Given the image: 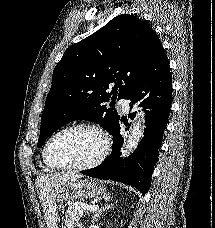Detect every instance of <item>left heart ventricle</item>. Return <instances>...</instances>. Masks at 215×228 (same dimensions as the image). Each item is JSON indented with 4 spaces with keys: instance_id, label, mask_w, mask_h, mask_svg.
I'll return each mask as SVG.
<instances>
[{
    "instance_id": "obj_1",
    "label": "left heart ventricle",
    "mask_w": 215,
    "mask_h": 228,
    "mask_svg": "<svg viewBox=\"0 0 215 228\" xmlns=\"http://www.w3.org/2000/svg\"><path fill=\"white\" fill-rule=\"evenodd\" d=\"M102 148V139L93 130L78 128L59 135L51 144L49 161L55 166L81 165L94 159Z\"/></svg>"
}]
</instances>
